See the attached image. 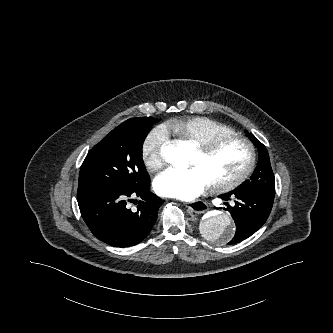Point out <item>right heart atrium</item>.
<instances>
[{"instance_id":"1","label":"right heart atrium","mask_w":333,"mask_h":333,"mask_svg":"<svg viewBox=\"0 0 333 333\" xmlns=\"http://www.w3.org/2000/svg\"><path fill=\"white\" fill-rule=\"evenodd\" d=\"M167 143V133L164 128L153 129L144 139L141 147V158L145 167L151 171L164 165L163 148Z\"/></svg>"}]
</instances>
